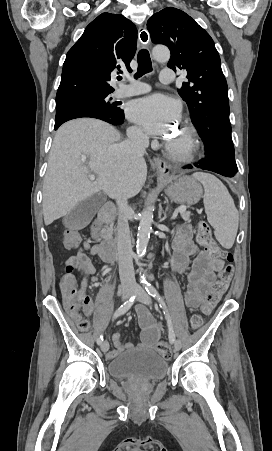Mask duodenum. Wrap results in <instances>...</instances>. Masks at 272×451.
Returning a JSON list of instances; mask_svg holds the SVG:
<instances>
[{
	"label": "duodenum",
	"mask_w": 272,
	"mask_h": 451,
	"mask_svg": "<svg viewBox=\"0 0 272 451\" xmlns=\"http://www.w3.org/2000/svg\"><path fill=\"white\" fill-rule=\"evenodd\" d=\"M115 208L112 204L106 203L101 208L96 220L93 223L92 229L94 232L100 228L109 225L114 217ZM98 253L103 261L112 262L116 259V245L112 238H106L98 244Z\"/></svg>",
	"instance_id": "obj_1"
}]
</instances>
